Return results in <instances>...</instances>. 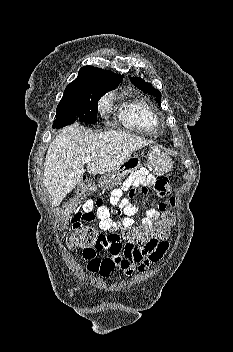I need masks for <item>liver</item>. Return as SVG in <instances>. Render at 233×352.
<instances>
[{
  "mask_svg": "<svg viewBox=\"0 0 233 352\" xmlns=\"http://www.w3.org/2000/svg\"><path fill=\"white\" fill-rule=\"evenodd\" d=\"M148 145L138 136L122 131L92 133L83 131L79 124L65 128L51 142L44 163V184L58 206L81 181L83 161L90 174H104L116 169L132 153Z\"/></svg>",
  "mask_w": 233,
  "mask_h": 352,
  "instance_id": "liver-1",
  "label": "liver"
}]
</instances>
